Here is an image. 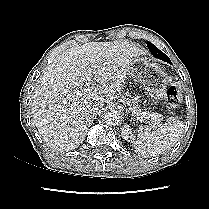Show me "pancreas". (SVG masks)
<instances>
[{"mask_svg": "<svg viewBox=\"0 0 209 209\" xmlns=\"http://www.w3.org/2000/svg\"><path fill=\"white\" fill-rule=\"evenodd\" d=\"M128 105L130 106V110L137 116H139V118H141V120H146V119H151L154 123H160L163 119L162 115H155V117H149L148 116V112H143L140 108H139V99L135 98V99H131L128 101ZM141 113H144V115L142 116Z\"/></svg>", "mask_w": 209, "mask_h": 209, "instance_id": "obj_1", "label": "pancreas"}]
</instances>
